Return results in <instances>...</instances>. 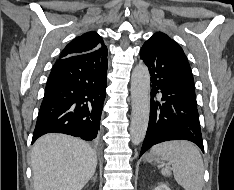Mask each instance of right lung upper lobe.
Returning a JSON list of instances; mask_svg holds the SVG:
<instances>
[{
	"label": "right lung upper lobe",
	"mask_w": 234,
	"mask_h": 190,
	"mask_svg": "<svg viewBox=\"0 0 234 190\" xmlns=\"http://www.w3.org/2000/svg\"><path fill=\"white\" fill-rule=\"evenodd\" d=\"M97 50L107 51V48L104 45L102 38L96 32L90 31L71 41L64 48L59 59L90 53Z\"/></svg>",
	"instance_id": "right-lung-upper-lobe-1"
}]
</instances>
